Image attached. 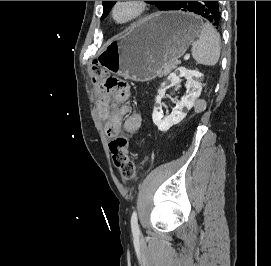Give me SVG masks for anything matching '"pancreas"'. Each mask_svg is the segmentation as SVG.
<instances>
[{
	"label": "pancreas",
	"instance_id": "obj_1",
	"mask_svg": "<svg viewBox=\"0 0 271 266\" xmlns=\"http://www.w3.org/2000/svg\"><path fill=\"white\" fill-rule=\"evenodd\" d=\"M177 64H178L177 61L169 62V63L164 64V66H163V72L160 74V76H164L168 72H170L172 69L176 68Z\"/></svg>",
	"mask_w": 271,
	"mask_h": 266
}]
</instances>
